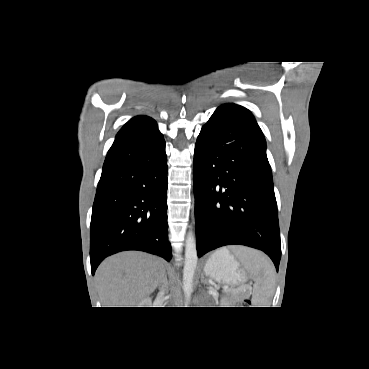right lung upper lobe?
Wrapping results in <instances>:
<instances>
[{
  "mask_svg": "<svg viewBox=\"0 0 369 369\" xmlns=\"http://www.w3.org/2000/svg\"><path fill=\"white\" fill-rule=\"evenodd\" d=\"M156 129L157 124L152 118L147 116H136L122 127L116 135L114 143L133 138Z\"/></svg>",
  "mask_w": 369,
  "mask_h": 369,
  "instance_id": "obj_1",
  "label": "right lung upper lobe"
}]
</instances>
